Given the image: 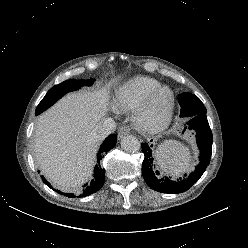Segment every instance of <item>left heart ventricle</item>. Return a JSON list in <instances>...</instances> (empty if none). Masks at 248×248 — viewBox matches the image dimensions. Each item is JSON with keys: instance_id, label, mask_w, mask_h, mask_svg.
<instances>
[{"instance_id": "1", "label": "left heart ventricle", "mask_w": 248, "mask_h": 248, "mask_svg": "<svg viewBox=\"0 0 248 248\" xmlns=\"http://www.w3.org/2000/svg\"><path fill=\"white\" fill-rule=\"evenodd\" d=\"M169 103V94L167 92L161 93L154 101L151 106L148 117L150 119H159L166 110V107Z\"/></svg>"}]
</instances>
